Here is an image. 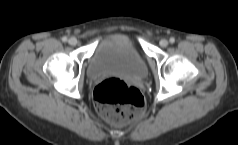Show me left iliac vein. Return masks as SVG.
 Wrapping results in <instances>:
<instances>
[{"label": "left iliac vein", "mask_w": 238, "mask_h": 145, "mask_svg": "<svg viewBox=\"0 0 238 145\" xmlns=\"http://www.w3.org/2000/svg\"><path fill=\"white\" fill-rule=\"evenodd\" d=\"M161 47H166L168 45V40L166 39H161L159 42Z\"/></svg>", "instance_id": "4c4485c4"}]
</instances>
